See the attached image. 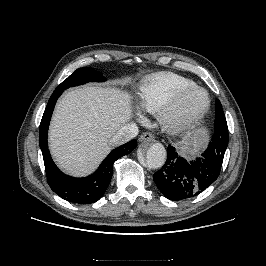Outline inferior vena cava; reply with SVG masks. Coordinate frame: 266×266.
<instances>
[{
    "instance_id": "obj_1",
    "label": "inferior vena cava",
    "mask_w": 266,
    "mask_h": 266,
    "mask_svg": "<svg viewBox=\"0 0 266 266\" xmlns=\"http://www.w3.org/2000/svg\"><path fill=\"white\" fill-rule=\"evenodd\" d=\"M138 127L135 123H127L120 128L111 138L113 145L124 144L138 135Z\"/></svg>"
}]
</instances>
